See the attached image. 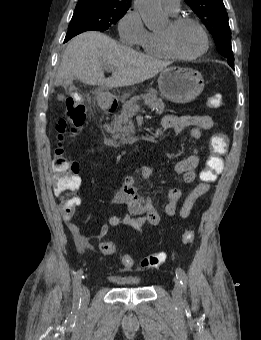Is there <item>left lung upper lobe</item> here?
Returning <instances> with one entry per match:
<instances>
[{
	"instance_id": "obj_1",
	"label": "left lung upper lobe",
	"mask_w": 261,
	"mask_h": 340,
	"mask_svg": "<svg viewBox=\"0 0 261 340\" xmlns=\"http://www.w3.org/2000/svg\"><path fill=\"white\" fill-rule=\"evenodd\" d=\"M202 20L212 34L216 48L227 58L228 63H234L231 47V33L223 0H184Z\"/></svg>"
}]
</instances>
